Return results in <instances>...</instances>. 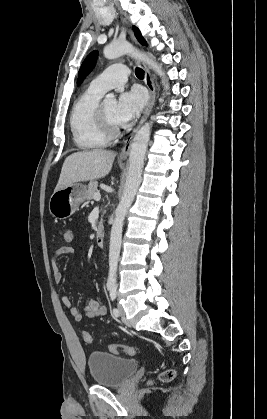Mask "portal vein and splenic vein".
Listing matches in <instances>:
<instances>
[{
    "label": "portal vein and splenic vein",
    "mask_w": 267,
    "mask_h": 419,
    "mask_svg": "<svg viewBox=\"0 0 267 419\" xmlns=\"http://www.w3.org/2000/svg\"><path fill=\"white\" fill-rule=\"evenodd\" d=\"M100 199H101V195H100V193H96V194L94 195V200L99 201Z\"/></svg>",
    "instance_id": "portal-vein-and-splenic-vein-1"
}]
</instances>
